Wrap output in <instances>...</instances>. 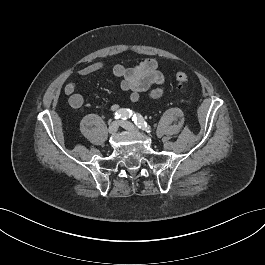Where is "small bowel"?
Returning <instances> with one entry per match:
<instances>
[{"label": "small bowel", "instance_id": "1", "mask_svg": "<svg viewBox=\"0 0 265 265\" xmlns=\"http://www.w3.org/2000/svg\"><path fill=\"white\" fill-rule=\"evenodd\" d=\"M104 62H94L84 66L79 70V74L85 77L104 70ZM115 77L121 79V89L130 91L129 99L136 102L143 94H147L152 99L160 98L164 93L165 77L159 69V62L156 59L148 58L133 67H125L117 64L112 67ZM64 93L68 96V102L74 109H79L84 104L83 96L77 92V84L69 81L64 86ZM119 105L113 104L112 111H118Z\"/></svg>", "mask_w": 265, "mask_h": 265}]
</instances>
